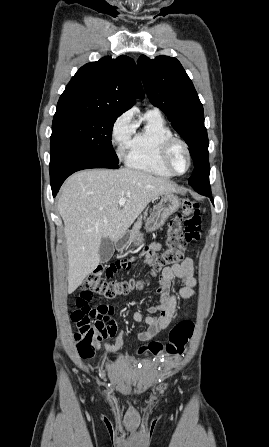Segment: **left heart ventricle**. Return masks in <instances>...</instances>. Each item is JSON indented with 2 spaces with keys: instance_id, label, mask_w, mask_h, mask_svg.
I'll return each instance as SVG.
<instances>
[{
  "instance_id": "b2bd125f",
  "label": "left heart ventricle",
  "mask_w": 269,
  "mask_h": 447,
  "mask_svg": "<svg viewBox=\"0 0 269 447\" xmlns=\"http://www.w3.org/2000/svg\"><path fill=\"white\" fill-rule=\"evenodd\" d=\"M172 162L175 169L179 172H183L187 169L188 166L187 154L181 146L175 147L172 154Z\"/></svg>"
}]
</instances>
